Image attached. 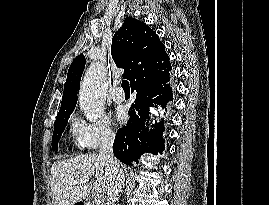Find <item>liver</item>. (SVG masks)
<instances>
[{"instance_id": "6515ba94", "label": "liver", "mask_w": 269, "mask_h": 205, "mask_svg": "<svg viewBox=\"0 0 269 205\" xmlns=\"http://www.w3.org/2000/svg\"><path fill=\"white\" fill-rule=\"evenodd\" d=\"M82 184H70L81 178H91ZM111 171L106 161L96 153L81 154L65 160H57L51 167V190L53 205H74L82 201L93 189L105 195L111 181Z\"/></svg>"}]
</instances>
